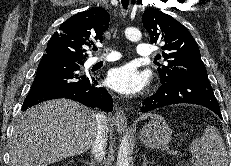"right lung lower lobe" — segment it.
I'll return each mask as SVG.
<instances>
[{
    "label": "right lung lower lobe",
    "mask_w": 231,
    "mask_h": 166,
    "mask_svg": "<svg viewBox=\"0 0 231 166\" xmlns=\"http://www.w3.org/2000/svg\"><path fill=\"white\" fill-rule=\"evenodd\" d=\"M83 64L43 55L22 110L50 99L68 98L88 107L112 111L113 102L106 89L98 86L95 76L80 72Z\"/></svg>",
    "instance_id": "right-lung-lower-lobe-1"
}]
</instances>
